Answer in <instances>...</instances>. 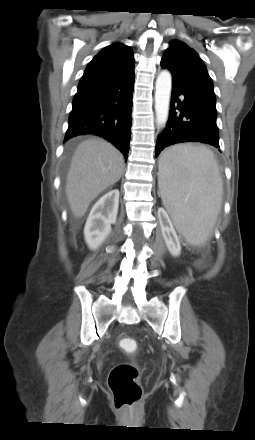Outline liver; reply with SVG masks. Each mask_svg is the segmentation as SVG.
<instances>
[{
  "label": "liver",
  "mask_w": 255,
  "mask_h": 440,
  "mask_svg": "<svg viewBox=\"0 0 255 440\" xmlns=\"http://www.w3.org/2000/svg\"><path fill=\"white\" fill-rule=\"evenodd\" d=\"M123 169V155L109 142L91 138L80 143L72 157L66 183L67 200L74 217H83L90 203L119 181Z\"/></svg>",
  "instance_id": "1"
}]
</instances>
